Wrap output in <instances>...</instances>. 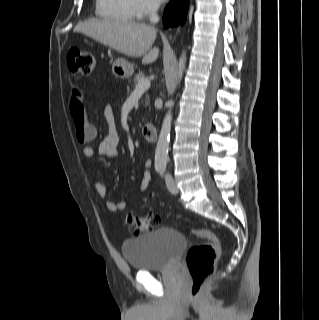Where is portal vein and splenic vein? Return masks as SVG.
I'll return each mask as SVG.
<instances>
[{"label":"portal vein and splenic vein","mask_w":319,"mask_h":320,"mask_svg":"<svg viewBox=\"0 0 319 320\" xmlns=\"http://www.w3.org/2000/svg\"><path fill=\"white\" fill-rule=\"evenodd\" d=\"M150 87V80L142 78L138 81L135 90H146Z\"/></svg>","instance_id":"18ae733b"}]
</instances>
